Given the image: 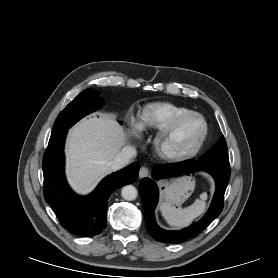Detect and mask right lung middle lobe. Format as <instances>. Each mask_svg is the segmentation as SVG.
<instances>
[{
    "label": "right lung middle lobe",
    "mask_w": 278,
    "mask_h": 278,
    "mask_svg": "<svg viewBox=\"0 0 278 278\" xmlns=\"http://www.w3.org/2000/svg\"><path fill=\"white\" fill-rule=\"evenodd\" d=\"M102 104V99L99 96V93L95 90L86 89L85 91L81 92L58 115L53 126L52 135H56L65 130H68L74 123L80 120L83 116L96 110Z\"/></svg>",
    "instance_id": "dd1d6c3e"
}]
</instances>
